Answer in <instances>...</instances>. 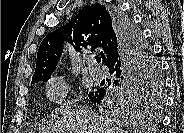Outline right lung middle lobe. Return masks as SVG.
<instances>
[{
    "label": "right lung middle lobe",
    "instance_id": "1",
    "mask_svg": "<svg viewBox=\"0 0 184 133\" xmlns=\"http://www.w3.org/2000/svg\"><path fill=\"white\" fill-rule=\"evenodd\" d=\"M126 18L129 21L136 41L140 42L144 47V50L140 51V53H142L141 57L144 64L142 67L141 79L138 81H132L125 95L112 99V103L110 105H112L113 109L116 111H134L147 107L150 104L160 105L162 103L159 96L163 87L159 65L154 60L148 46L144 43L140 31L128 17ZM49 78L50 77H46L39 81L47 82Z\"/></svg>",
    "mask_w": 184,
    "mask_h": 133
}]
</instances>
